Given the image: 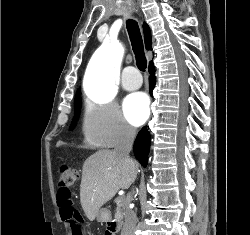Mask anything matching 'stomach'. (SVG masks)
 Masks as SVG:
<instances>
[{
	"mask_svg": "<svg viewBox=\"0 0 250 235\" xmlns=\"http://www.w3.org/2000/svg\"><path fill=\"white\" fill-rule=\"evenodd\" d=\"M97 220L99 222H106L107 220H109L108 210L105 208L100 209L98 214H97Z\"/></svg>",
	"mask_w": 250,
	"mask_h": 235,
	"instance_id": "1",
	"label": "stomach"
}]
</instances>
